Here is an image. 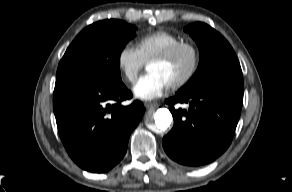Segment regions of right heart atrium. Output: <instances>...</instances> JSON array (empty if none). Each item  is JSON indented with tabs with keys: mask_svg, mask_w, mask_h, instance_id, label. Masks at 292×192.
<instances>
[{
	"mask_svg": "<svg viewBox=\"0 0 292 192\" xmlns=\"http://www.w3.org/2000/svg\"><path fill=\"white\" fill-rule=\"evenodd\" d=\"M116 62L120 73L130 83L136 81L145 63L137 48L130 44H125L120 48Z\"/></svg>",
	"mask_w": 292,
	"mask_h": 192,
	"instance_id": "1",
	"label": "right heart atrium"
}]
</instances>
